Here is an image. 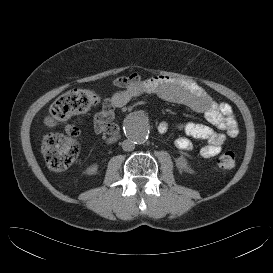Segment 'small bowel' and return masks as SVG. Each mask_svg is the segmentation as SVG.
<instances>
[{
    "mask_svg": "<svg viewBox=\"0 0 273 273\" xmlns=\"http://www.w3.org/2000/svg\"><path fill=\"white\" fill-rule=\"evenodd\" d=\"M113 84L119 88V91L106 100L102 109L94 116V128L98 132L114 130L112 121L116 109L124 107L135 98L154 95L164 101L181 104L203 114L210 124L225 130L230 137H236L238 134L236 125L227 116V109L212 101L203 88L191 79L171 75L142 79L138 74L133 73L115 79ZM176 128L184 134L174 141L175 146L180 150L192 149L191 138L207 141V144L200 149V154L204 158L218 155L226 138L223 133L216 132L210 126L196 122L178 123ZM68 129L74 131L75 126H69ZM168 130L167 122L159 123V133L163 134Z\"/></svg>",
    "mask_w": 273,
    "mask_h": 273,
    "instance_id": "1",
    "label": "small bowel"
}]
</instances>
